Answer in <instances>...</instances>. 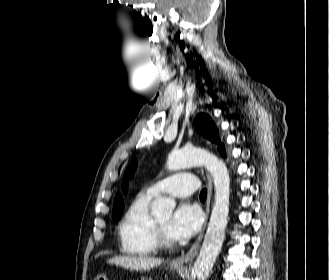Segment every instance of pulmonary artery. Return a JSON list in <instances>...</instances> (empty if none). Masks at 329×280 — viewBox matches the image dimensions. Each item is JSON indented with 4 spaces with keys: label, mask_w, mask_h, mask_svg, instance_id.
I'll return each mask as SVG.
<instances>
[{
    "label": "pulmonary artery",
    "mask_w": 329,
    "mask_h": 280,
    "mask_svg": "<svg viewBox=\"0 0 329 280\" xmlns=\"http://www.w3.org/2000/svg\"><path fill=\"white\" fill-rule=\"evenodd\" d=\"M198 189V180L195 175L181 172L152 184L147 191L156 196L169 193L176 197H187Z\"/></svg>",
    "instance_id": "pulmonary-artery-1"
}]
</instances>
